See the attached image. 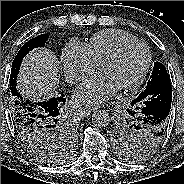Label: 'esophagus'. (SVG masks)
<instances>
[{
	"label": "esophagus",
	"instance_id": "34e87169",
	"mask_svg": "<svg viewBox=\"0 0 184 184\" xmlns=\"http://www.w3.org/2000/svg\"><path fill=\"white\" fill-rule=\"evenodd\" d=\"M93 110H94V109L88 108V107H86V108L81 107V108L79 109V111L81 112V114L84 115V116H88Z\"/></svg>",
	"mask_w": 184,
	"mask_h": 184
}]
</instances>
